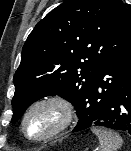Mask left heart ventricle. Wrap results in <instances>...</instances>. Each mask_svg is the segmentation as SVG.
I'll list each match as a JSON object with an SVG mask.
<instances>
[{
  "instance_id": "obj_1",
  "label": "left heart ventricle",
  "mask_w": 131,
  "mask_h": 151,
  "mask_svg": "<svg viewBox=\"0 0 131 151\" xmlns=\"http://www.w3.org/2000/svg\"><path fill=\"white\" fill-rule=\"evenodd\" d=\"M59 112L51 107L35 110L27 119L26 131L32 137H40L51 131L59 122Z\"/></svg>"
}]
</instances>
